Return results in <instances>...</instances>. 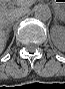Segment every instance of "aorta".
Listing matches in <instances>:
<instances>
[{
    "label": "aorta",
    "mask_w": 65,
    "mask_h": 89,
    "mask_svg": "<svg viewBox=\"0 0 65 89\" xmlns=\"http://www.w3.org/2000/svg\"><path fill=\"white\" fill-rule=\"evenodd\" d=\"M34 15L38 20L46 22L50 20L52 13L48 5L38 4L34 7Z\"/></svg>",
    "instance_id": "obj_1"
}]
</instances>
